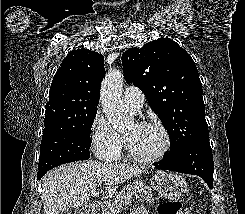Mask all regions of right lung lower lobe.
I'll return each mask as SVG.
<instances>
[{"label":"right lung lower lobe","instance_id":"98d812e1","mask_svg":"<svg viewBox=\"0 0 245 214\" xmlns=\"http://www.w3.org/2000/svg\"><path fill=\"white\" fill-rule=\"evenodd\" d=\"M45 174H42V175H38L37 178L38 179H41Z\"/></svg>","mask_w":245,"mask_h":214}]
</instances>
